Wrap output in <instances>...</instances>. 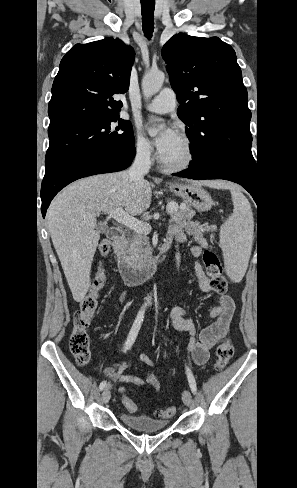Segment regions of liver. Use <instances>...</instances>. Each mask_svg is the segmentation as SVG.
Returning <instances> with one entry per match:
<instances>
[{"label":"liver","instance_id":"obj_1","mask_svg":"<svg viewBox=\"0 0 297 488\" xmlns=\"http://www.w3.org/2000/svg\"><path fill=\"white\" fill-rule=\"evenodd\" d=\"M205 184L217 187L213 182ZM151 199L148 181H133L128 171H121L78 180L52 201L46 214L48 230L76 302L90 288L91 265L100 239L96 216L120 207L138 216L150 207Z\"/></svg>","mask_w":297,"mask_h":488}]
</instances>
